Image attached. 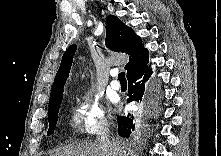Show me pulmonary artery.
I'll return each instance as SVG.
<instances>
[{"label": "pulmonary artery", "mask_w": 221, "mask_h": 156, "mask_svg": "<svg viewBox=\"0 0 221 156\" xmlns=\"http://www.w3.org/2000/svg\"><path fill=\"white\" fill-rule=\"evenodd\" d=\"M111 75L115 77L117 75V72L113 71L111 73ZM111 88L114 89V90H119L121 88L120 82L116 79L112 80L111 81Z\"/></svg>", "instance_id": "pulmonary-artery-1"}]
</instances>
